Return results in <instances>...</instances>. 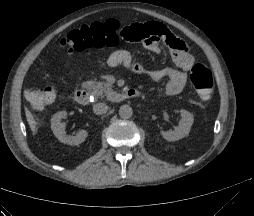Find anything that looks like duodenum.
Instances as JSON below:
<instances>
[{
  "label": "duodenum",
  "mask_w": 254,
  "mask_h": 216,
  "mask_svg": "<svg viewBox=\"0 0 254 216\" xmlns=\"http://www.w3.org/2000/svg\"><path fill=\"white\" fill-rule=\"evenodd\" d=\"M139 91L136 89H127L125 91H113L109 95V100L112 102L121 101L126 98L138 97ZM75 100L78 104L87 105L90 102V94L86 89H78L75 92Z\"/></svg>",
  "instance_id": "obj_1"
}]
</instances>
